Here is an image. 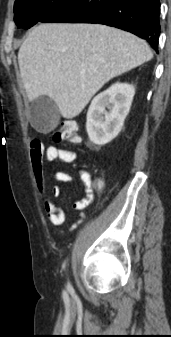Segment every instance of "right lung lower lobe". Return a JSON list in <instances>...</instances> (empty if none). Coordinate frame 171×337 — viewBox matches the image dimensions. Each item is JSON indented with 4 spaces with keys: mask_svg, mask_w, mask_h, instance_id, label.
I'll use <instances>...</instances> for the list:
<instances>
[{
    "mask_svg": "<svg viewBox=\"0 0 171 337\" xmlns=\"http://www.w3.org/2000/svg\"><path fill=\"white\" fill-rule=\"evenodd\" d=\"M159 0H67L42 22L101 23L129 31L158 52Z\"/></svg>",
    "mask_w": 171,
    "mask_h": 337,
    "instance_id": "right-lung-lower-lobe-1",
    "label": "right lung lower lobe"
}]
</instances>
